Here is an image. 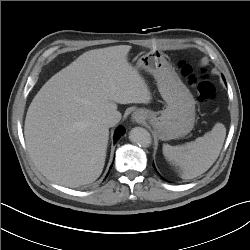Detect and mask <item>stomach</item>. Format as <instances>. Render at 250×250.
<instances>
[{
    "label": "stomach",
    "instance_id": "1",
    "mask_svg": "<svg viewBox=\"0 0 250 250\" xmlns=\"http://www.w3.org/2000/svg\"><path fill=\"white\" fill-rule=\"evenodd\" d=\"M136 68L155 77L159 92L167 103L164 110H147L146 120L152 125L155 135L160 140H170L190 133L195 123V100L165 55L152 50L138 59Z\"/></svg>",
    "mask_w": 250,
    "mask_h": 250
}]
</instances>
